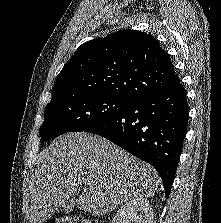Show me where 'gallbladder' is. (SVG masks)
I'll return each mask as SVG.
<instances>
[{
    "label": "gallbladder",
    "mask_w": 221,
    "mask_h": 223,
    "mask_svg": "<svg viewBox=\"0 0 221 223\" xmlns=\"http://www.w3.org/2000/svg\"><path fill=\"white\" fill-rule=\"evenodd\" d=\"M74 201H75V198H74V197L70 198V200H69L70 207L68 208V210H69V211H71V210H72L71 205H72V203H73Z\"/></svg>",
    "instance_id": "obj_1"
}]
</instances>
